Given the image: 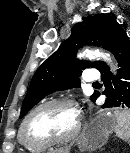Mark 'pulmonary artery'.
Masks as SVG:
<instances>
[{
	"label": "pulmonary artery",
	"mask_w": 130,
	"mask_h": 153,
	"mask_svg": "<svg viewBox=\"0 0 130 153\" xmlns=\"http://www.w3.org/2000/svg\"><path fill=\"white\" fill-rule=\"evenodd\" d=\"M100 77L98 70H89L85 73L84 80L88 83H95Z\"/></svg>",
	"instance_id": "pulmonary-artery-1"
}]
</instances>
